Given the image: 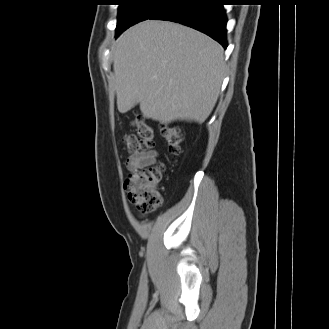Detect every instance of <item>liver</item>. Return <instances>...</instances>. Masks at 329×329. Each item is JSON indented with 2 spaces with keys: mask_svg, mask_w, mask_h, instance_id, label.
<instances>
[{
  "mask_svg": "<svg viewBox=\"0 0 329 329\" xmlns=\"http://www.w3.org/2000/svg\"><path fill=\"white\" fill-rule=\"evenodd\" d=\"M113 69L120 113L139 104L147 119L202 123L220 93L224 51L194 29L147 20L118 38Z\"/></svg>",
  "mask_w": 329,
  "mask_h": 329,
  "instance_id": "1",
  "label": "liver"
}]
</instances>
